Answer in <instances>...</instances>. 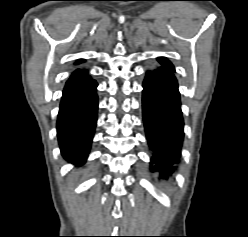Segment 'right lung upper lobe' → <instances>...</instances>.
I'll return each mask as SVG.
<instances>
[{
    "label": "right lung upper lobe",
    "instance_id": "right-lung-upper-lobe-1",
    "mask_svg": "<svg viewBox=\"0 0 248 237\" xmlns=\"http://www.w3.org/2000/svg\"><path fill=\"white\" fill-rule=\"evenodd\" d=\"M80 62H83V60H79V61H77V64H78V63H80Z\"/></svg>",
    "mask_w": 248,
    "mask_h": 237
}]
</instances>
